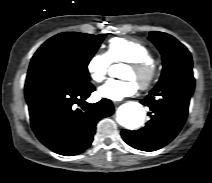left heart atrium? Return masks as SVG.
Here are the masks:
<instances>
[{
	"label": "left heart atrium",
	"instance_id": "obj_1",
	"mask_svg": "<svg viewBox=\"0 0 212 183\" xmlns=\"http://www.w3.org/2000/svg\"><path fill=\"white\" fill-rule=\"evenodd\" d=\"M138 89L137 84L131 80H111L98 89V95L102 98L119 101L132 96Z\"/></svg>",
	"mask_w": 212,
	"mask_h": 183
}]
</instances>
